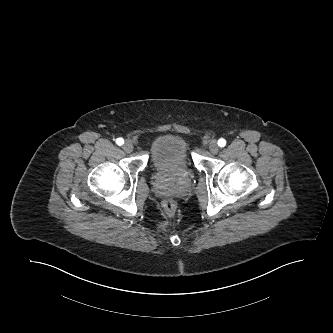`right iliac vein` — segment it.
Wrapping results in <instances>:
<instances>
[{"label": "right iliac vein", "instance_id": "63e3f726", "mask_svg": "<svg viewBox=\"0 0 333 333\" xmlns=\"http://www.w3.org/2000/svg\"><path fill=\"white\" fill-rule=\"evenodd\" d=\"M133 148H134V146H133L132 142L129 141V140H127V141L124 143V145H123V149H124V151L127 152V153L132 152V151H133Z\"/></svg>", "mask_w": 333, "mask_h": 333}]
</instances>
